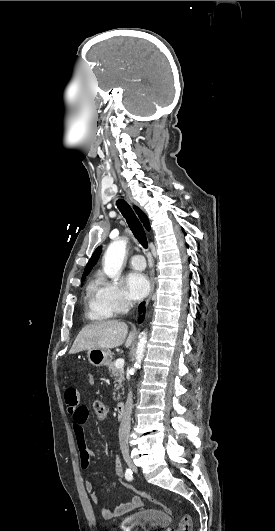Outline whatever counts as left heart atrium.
<instances>
[{"label": "left heart atrium", "instance_id": "obj_1", "mask_svg": "<svg viewBox=\"0 0 275 531\" xmlns=\"http://www.w3.org/2000/svg\"><path fill=\"white\" fill-rule=\"evenodd\" d=\"M149 289L147 276L139 271L130 272L125 279V290L133 300L143 298Z\"/></svg>", "mask_w": 275, "mask_h": 531}]
</instances>
